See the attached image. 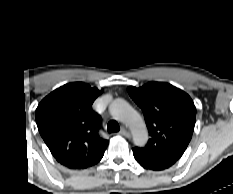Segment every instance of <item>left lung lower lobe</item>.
Listing matches in <instances>:
<instances>
[{"mask_svg":"<svg viewBox=\"0 0 233 194\" xmlns=\"http://www.w3.org/2000/svg\"><path fill=\"white\" fill-rule=\"evenodd\" d=\"M134 158L136 161L144 168L151 169V170H163L171 165H173L175 162L168 161V160H157L152 159L147 156L141 155L133 150Z\"/></svg>","mask_w":233,"mask_h":194,"instance_id":"0a47b994","label":"left lung lower lobe"}]
</instances>
